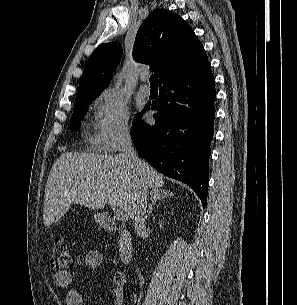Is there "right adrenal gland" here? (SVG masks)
Here are the masks:
<instances>
[{
  "label": "right adrenal gland",
  "instance_id": "2a0ac1e0",
  "mask_svg": "<svg viewBox=\"0 0 297 305\" xmlns=\"http://www.w3.org/2000/svg\"><path fill=\"white\" fill-rule=\"evenodd\" d=\"M150 195H151L150 204H149V209L146 214V218H148L152 214L158 201L165 199L169 196H172V193H170L169 191H165V190H152Z\"/></svg>",
  "mask_w": 297,
  "mask_h": 305
}]
</instances>
